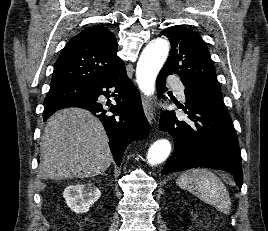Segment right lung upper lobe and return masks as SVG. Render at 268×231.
Segmentation results:
<instances>
[{"instance_id":"1","label":"right lung upper lobe","mask_w":268,"mask_h":231,"mask_svg":"<svg viewBox=\"0 0 268 231\" xmlns=\"http://www.w3.org/2000/svg\"><path fill=\"white\" fill-rule=\"evenodd\" d=\"M117 52V39L109 29L89 27L64 47L54 65L51 85L72 84L88 88L123 64ZM64 102L47 103L44 108Z\"/></svg>"}]
</instances>
